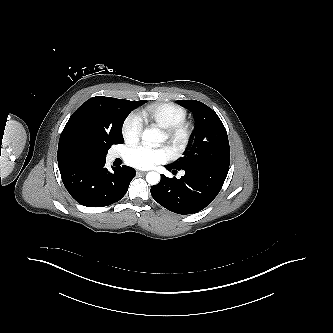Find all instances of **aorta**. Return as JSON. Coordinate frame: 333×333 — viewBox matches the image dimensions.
Here are the masks:
<instances>
[{
  "label": "aorta",
  "instance_id": "aorta-1",
  "mask_svg": "<svg viewBox=\"0 0 333 333\" xmlns=\"http://www.w3.org/2000/svg\"><path fill=\"white\" fill-rule=\"evenodd\" d=\"M142 141L147 144L159 143L162 141L163 135L158 129H146L142 133ZM146 181L149 185H156L160 181V174L157 172H149L146 175Z\"/></svg>",
  "mask_w": 333,
  "mask_h": 333
}]
</instances>
